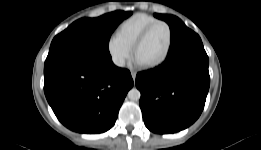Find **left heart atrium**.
I'll use <instances>...</instances> for the list:
<instances>
[{
    "instance_id": "39dd6f15",
    "label": "left heart atrium",
    "mask_w": 261,
    "mask_h": 150,
    "mask_svg": "<svg viewBox=\"0 0 261 150\" xmlns=\"http://www.w3.org/2000/svg\"><path fill=\"white\" fill-rule=\"evenodd\" d=\"M135 61L138 65H142L137 59Z\"/></svg>"
}]
</instances>
